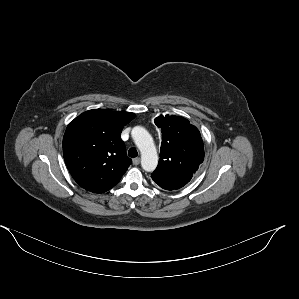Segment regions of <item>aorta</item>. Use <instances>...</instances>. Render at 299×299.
Wrapping results in <instances>:
<instances>
[{
  "label": "aorta",
  "mask_w": 299,
  "mask_h": 299,
  "mask_svg": "<svg viewBox=\"0 0 299 299\" xmlns=\"http://www.w3.org/2000/svg\"><path fill=\"white\" fill-rule=\"evenodd\" d=\"M131 134L141 152L142 168L148 172L154 171L158 164V155L152 136L141 126L134 127Z\"/></svg>",
  "instance_id": "1"
}]
</instances>
